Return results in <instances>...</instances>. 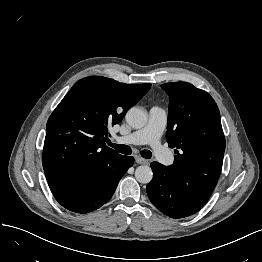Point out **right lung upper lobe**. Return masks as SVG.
Wrapping results in <instances>:
<instances>
[{"label": "right lung upper lobe", "instance_id": "cb5924a9", "mask_svg": "<svg viewBox=\"0 0 262 262\" xmlns=\"http://www.w3.org/2000/svg\"><path fill=\"white\" fill-rule=\"evenodd\" d=\"M150 87L102 76L75 83L47 122L43 168L48 183L97 180L114 167L121 155L105 144L109 128Z\"/></svg>", "mask_w": 262, "mask_h": 262}]
</instances>
